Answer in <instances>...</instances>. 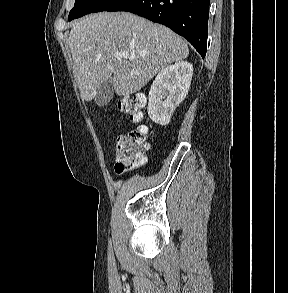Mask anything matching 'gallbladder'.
I'll return each mask as SVG.
<instances>
[{
	"label": "gallbladder",
	"instance_id": "1",
	"mask_svg": "<svg viewBox=\"0 0 288 293\" xmlns=\"http://www.w3.org/2000/svg\"><path fill=\"white\" fill-rule=\"evenodd\" d=\"M114 93V82L113 79L110 78L107 81L103 82L97 89V93L95 96V103L98 106L107 105L113 97Z\"/></svg>",
	"mask_w": 288,
	"mask_h": 293
}]
</instances>
